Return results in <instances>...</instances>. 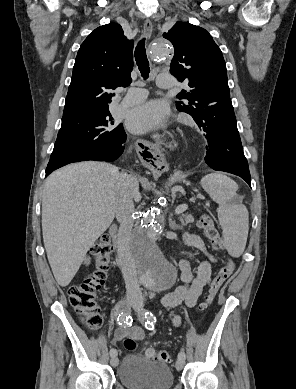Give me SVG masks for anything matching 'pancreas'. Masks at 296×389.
<instances>
[{"instance_id": "obj_1", "label": "pancreas", "mask_w": 296, "mask_h": 389, "mask_svg": "<svg viewBox=\"0 0 296 389\" xmlns=\"http://www.w3.org/2000/svg\"><path fill=\"white\" fill-rule=\"evenodd\" d=\"M180 222L183 226L190 224L194 221V217L191 214H182L180 217Z\"/></svg>"}]
</instances>
